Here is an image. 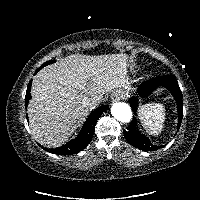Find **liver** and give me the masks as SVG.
<instances>
[{
    "label": "liver",
    "instance_id": "liver-1",
    "mask_svg": "<svg viewBox=\"0 0 200 200\" xmlns=\"http://www.w3.org/2000/svg\"><path fill=\"white\" fill-rule=\"evenodd\" d=\"M128 62L124 54H72L39 71L27 111L36 141L49 147L64 144L87 115L85 96L95 99L96 106L105 93L127 87Z\"/></svg>",
    "mask_w": 200,
    "mask_h": 200
}]
</instances>
